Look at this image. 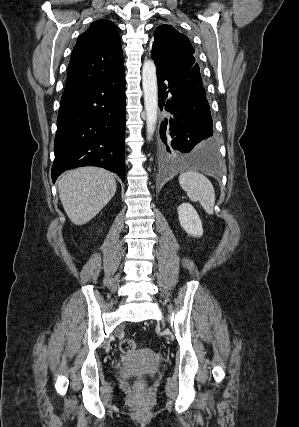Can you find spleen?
Segmentation results:
<instances>
[{"instance_id": "1", "label": "spleen", "mask_w": 299, "mask_h": 427, "mask_svg": "<svg viewBox=\"0 0 299 427\" xmlns=\"http://www.w3.org/2000/svg\"><path fill=\"white\" fill-rule=\"evenodd\" d=\"M178 181L192 201H199L208 214H213L215 191L206 176L196 171H187L180 174Z\"/></svg>"}]
</instances>
